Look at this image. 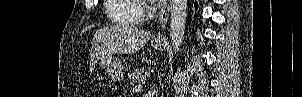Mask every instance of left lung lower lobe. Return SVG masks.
I'll use <instances>...</instances> for the list:
<instances>
[{
  "label": "left lung lower lobe",
  "instance_id": "1",
  "mask_svg": "<svg viewBox=\"0 0 302 97\" xmlns=\"http://www.w3.org/2000/svg\"><path fill=\"white\" fill-rule=\"evenodd\" d=\"M195 8H196V9L198 8V3H197V2H195Z\"/></svg>",
  "mask_w": 302,
  "mask_h": 97
}]
</instances>
